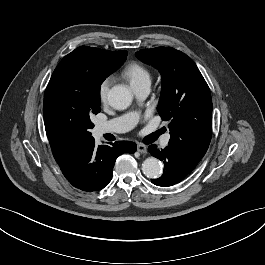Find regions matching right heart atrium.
Masks as SVG:
<instances>
[{"instance_id": "obj_1", "label": "right heart atrium", "mask_w": 265, "mask_h": 265, "mask_svg": "<svg viewBox=\"0 0 265 265\" xmlns=\"http://www.w3.org/2000/svg\"><path fill=\"white\" fill-rule=\"evenodd\" d=\"M111 84H112L111 78H105L100 83L99 88H98V95H99V99L101 102H105L107 100V96H108V92H109Z\"/></svg>"}]
</instances>
